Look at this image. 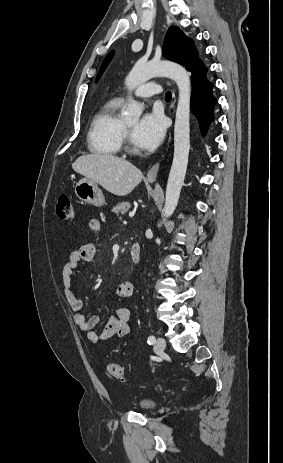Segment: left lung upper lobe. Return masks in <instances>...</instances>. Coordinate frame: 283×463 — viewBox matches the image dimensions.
Listing matches in <instances>:
<instances>
[{
  "label": "left lung upper lobe",
  "instance_id": "obj_1",
  "mask_svg": "<svg viewBox=\"0 0 283 463\" xmlns=\"http://www.w3.org/2000/svg\"><path fill=\"white\" fill-rule=\"evenodd\" d=\"M113 53L111 52L102 63L97 75V80L101 77L106 69ZM163 55L176 63H179L188 69L192 64L200 61L194 43L184 33L175 26L168 29L163 44Z\"/></svg>",
  "mask_w": 283,
  "mask_h": 463
}]
</instances>
